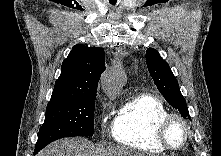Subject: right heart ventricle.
Returning <instances> with one entry per match:
<instances>
[{"instance_id":"1","label":"right heart ventricle","mask_w":221,"mask_h":156,"mask_svg":"<svg viewBox=\"0 0 221 156\" xmlns=\"http://www.w3.org/2000/svg\"><path fill=\"white\" fill-rule=\"evenodd\" d=\"M168 113L164 103L151 94L130 99L116 114L111 126L113 139L125 147L160 154L166 149L156 136L159 121Z\"/></svg>"}]
</instances>
